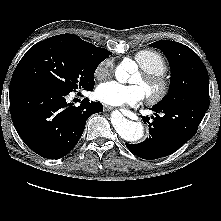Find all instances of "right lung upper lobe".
Returning a JSON list of instances; mask_svg holds the SVG:
<instances>
[{
  "instance_id": "right-lung-upper-lobe-1",
  "label": "right lung upper lobe",
  "mask_w": 221,
  "mask_h": 221,
  "mask_svg": "<svg viewBox=\"0 0 221 221\" xmlns=\"http://www.w3.org/2000/svg\"><path fill=\"white\" fill-rule=\"evenodd\" d=\"M60 37H63L65 39L70 40L71 42L79 45L81 48H83L85 51H87L92 56L101 59L102 61L105 60L109 55L110 52L104 48L96 47L95 45L81 40L77 35L72 34H61L58 35Z\"/></svg>"
}]
</instances>
